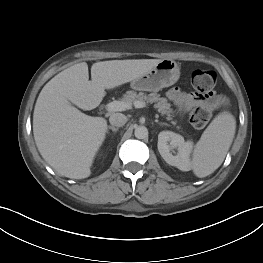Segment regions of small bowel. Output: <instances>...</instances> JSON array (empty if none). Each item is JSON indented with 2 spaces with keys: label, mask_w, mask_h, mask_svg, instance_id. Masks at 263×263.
I'll use <instances>...</instances> for the list:
<instances>
[{
  "label": "small bowel",
  "mask_w": 263,
  "mask_h": 263,
  "mask_svg": "<svg viewBox=\"0 0 263 263\" xmlns=\"http://www.w3.org/2000/svg\"><path fill=\"white\" fill-rule=\"evenodd\" d=\"M167 97L171 100L180 111L185 112L195 106L207 104L208 101L201 98L196 93H186L179 88H172L167 92ZM218 104V95L215 96Z\"/></svg>",
  "instance_id": "small-bowel-1"
}]
</instances>
